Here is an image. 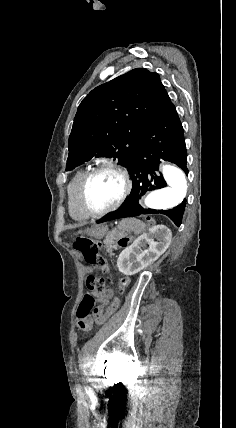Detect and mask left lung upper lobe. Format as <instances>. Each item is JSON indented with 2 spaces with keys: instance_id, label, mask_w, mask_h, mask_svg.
Segmentation results:
<instances>
[{
  "instance_id": "obj_1",
  "label": "left lung upper lobe",
  "mask_w": 236,
  "mask_h": 428,
  "mask_svg": "<svg viewBox=\"0 0 236 428\" xmlns=\"http://www.w3.org/2000/svg\"><path fill=\"white\" fill-rule=\"evenodd\" d=\"M171 104L159 75L142 68L96 87L74 118L66 171L93 157L117 158L127 168L145 127Z\"/></svg>"
}]
</instances>
